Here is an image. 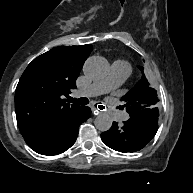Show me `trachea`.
I'll return each mask as SVG.
<instances>
[{"instance_id":"3493384b","label":"trachea","mask_w":193,"mask_h":193,"mask_svg":"<svg viewBox=\"0 0 193 193\" xmlns=\"http://www.w3.org/2000/svg\"><path fill=\"white\" fill-rule=\"evenodd\" d=\"M69 101H70L71 103H75V104H78V105H81V106H85V105H87V104L89 103L88 98H85V97H81V98H79V99L69 97ZM98 108L101 109V110H103V109H105V106H103V105H98Z\"/></svg>"}]
</instances>
